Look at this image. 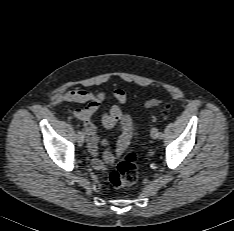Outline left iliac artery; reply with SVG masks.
Wrapping results in <instances>:
<instances>
[{"label":"left iliac artery","instance_id":"1","mask_svg":"<svg viewBox=\"0 0 234 231\" xmlns=\"http://www.w3.org/2000/svg\"><path fill=\"white\" fill-rule=\"evenodd\" d=\"M163 137V133L162 132H158V138H162Z\"/></svg>","mask_w":234,"mask_h":231}]
</instances>
